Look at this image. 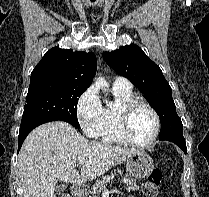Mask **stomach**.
Instances as JSON below:
<instances>
[{
  "instance_id": "obj_1",
  "label": "stomach",
  "mask_w": 209,
  "mask_h": 197,
  "mask_svg": "<svg viewBox=\"0 0 209 197\" xmlns=\"http://www.w3.org/2000/svg\"><path fill=\"white\" fill-rule=\"evenodd\" d=\"M126 169L130 176L148 178L154 170V161L145 151L139 150L127 158Z\"/></svg>"
}]
</instances>
